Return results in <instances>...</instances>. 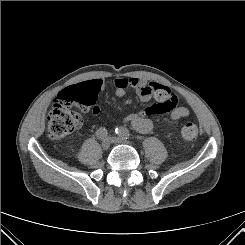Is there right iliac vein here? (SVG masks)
<instances>
[{"instance_id":"right-iliac-vein-1","label":"right iliac vein","mask_w":245,"mask_h":245,"mask_svg":"<svg viewBox=\"0 0 245 245\" xmlns=\"http://www.w3.org/2000/svg\"><path fill=\"white\" fill-rule=\"evenodd\" d=\"M110 147V141L108 138L104 139L102 142V149L103 150H108Z\"/></svg>"}]
</instances>
